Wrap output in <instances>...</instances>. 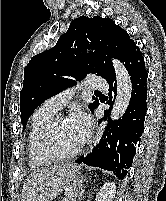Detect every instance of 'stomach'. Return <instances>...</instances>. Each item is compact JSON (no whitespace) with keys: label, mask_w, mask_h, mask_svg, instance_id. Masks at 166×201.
<instances>
[{"label":"stomach","mask_w":166,"mask_h":201,"mask_svg":"<svg viewBox=\"0 0 166 201\" xmlns=\"http://www.w3.org/2000/svg\"><path fill=\"white\" fill-rule=\"evenodd\" d=\"M79 169L75 165H64L48 177L37 190L32 201H52L64 187L75 182Z\"/></svg>","instance_id":"stomach-1"}]
</instances>
